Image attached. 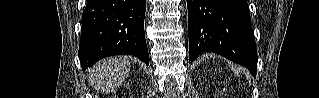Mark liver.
<instances>
[{"instance_id":"6515ba94","label":"liver","mask_w":319,"mask_h":98,"mask_svg":"<svg viewBox=\"0 0 319 98\" xmlns=\"http://www.w3.org/2000/svg\"><path fill=\"white\" fill-rule=\"evenodd\" d=\"M131 63L126 57H112L97 62L89 71V82L95 90L110 93L126 80Z\"/></svg>"}]
</instances>
